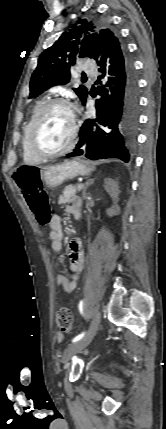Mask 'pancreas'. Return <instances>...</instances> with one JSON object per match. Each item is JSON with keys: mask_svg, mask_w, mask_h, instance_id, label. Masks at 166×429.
Segmentation results:
<instances>
[{"mask_svg": "<svg viewBox=\"0 0 166 429\" xmlns=\"http://www.w3.org/2000/svg\"><path fill=\"white\" fill-rule=\"evenodd\" d=\"M79 190L80 189H77V187L72 185L66 186L63 191V194L59 197L58 204L61 205L69 202Z\"/></svg>", "mask_w": 166, "mask_h": 429, "instance_id": "obj_1", "label": "pancreas"}]
</instances>
